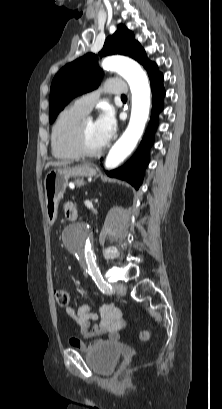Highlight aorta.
I'll return each instance as SVG.
<instances>
[{"instance_id": "762f6f07", "label": "aorta", "mask_w": 222, "mask_h": 409, "mask_svg": "<svg viewBox=\"0 0 222 409\" xmlns=\"http://www.w3.org/2000/svg\"><path fill=\"white\" fill-rule=\"evenodd\" d=\"M105 70L115 71L129 84L132 93V108L129 124L110 149L106 169L119 166L135 149L141 138L150 111V85L146 73L135 61L113 56L104 59ZM68 249L77 257L84 259L91 270H96L95 256L91 248V233L86 224L76 223L66 231Z\"/></svg>"}]
</instances>
